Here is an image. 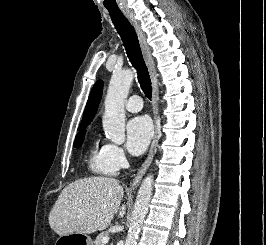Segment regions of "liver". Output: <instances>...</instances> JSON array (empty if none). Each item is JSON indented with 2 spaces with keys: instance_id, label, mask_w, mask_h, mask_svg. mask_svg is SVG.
Masks as SVG:
<instances>
[{
  "instance_id": "6515ba94",
  "label": "liver",
  "mask_w": 266,
  "mask_h": 245,
  "mask_svg": "<svg viewBox=\"0 0 266 245\" xmlns=\"http://www.w3.org/2000/svg\"><path fill=\"white\" fill-rule=\"evenodd\" d=\"M123 193L119 181L109 177L74 181L61 191L49 215V225L59 237L105 231L117 211L118 219L126 215V205L120 207Z\"/></svg>"
}]
</instances>
